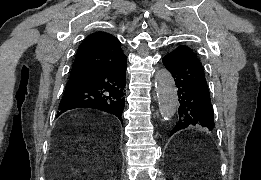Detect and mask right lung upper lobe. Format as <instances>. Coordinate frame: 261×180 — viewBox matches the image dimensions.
<instances>
[{
  "mask_svg": "<svg viewBox=\"0 0 261 180\" xmlns=\"http://www.w3.org/2000/svg\"><path fill=\"white\" fill-rule=\"evenodd\" d=\"M126 61L120 42L111 34L95 32L79 46L67 84L77 83L90 72L114 67Z\"/></svg>",
  "mask_w": 261,
  "mask_h": 180,
  "instance_id": "right-lung-upper-lobe-1",
  "label": "right lung upper lobe"
}]
</instances>
